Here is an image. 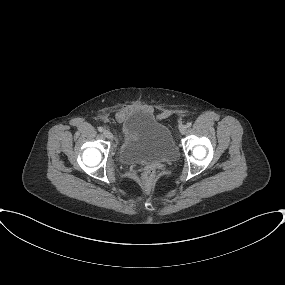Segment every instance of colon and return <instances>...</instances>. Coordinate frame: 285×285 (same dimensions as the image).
I'll list each match as a JSON object with an SVG mask.
<instances>
[{
	"label": "colon",
	"mask_w": 285,
	"mask_h": 285,
	"mask_svg": "<svg viewBox=\"0 0 285 285\" xmlns=\"http://www.w3.org/2000/svg\"><path fill=\"white\" fill-rule=\"evenodd\" d=\"M143 181L145 183L146 186H150L153 184L154 180H155V173L153 170L148 169L144 172L143 174Z\"/></svg>",
	"instance_id": "5ec220e1"
}]
</instances>
